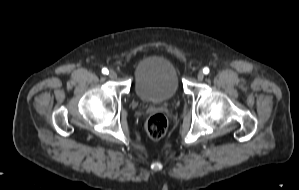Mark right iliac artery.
<instances>
[{
  "label": "right iliac artery",
  "mask_w": 299,
  "mask_h": 190,
  "mask_svg": "<svg viewBox=\"0 0 299 190\" xmlns=\"http://www.w3.org/2000/svg\"><path fill=\"white\" fill-rule=\"evenodd\" d=\"M102 73H103L104 75H107V74L109 73V71H108L107 68H103V69H102Z\"/></svg>",
  "instance_id": "1"
}]
</instances>
